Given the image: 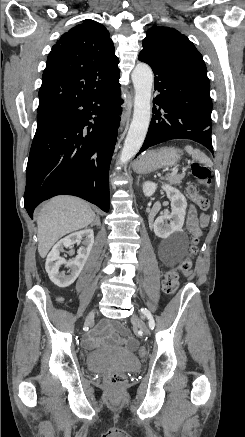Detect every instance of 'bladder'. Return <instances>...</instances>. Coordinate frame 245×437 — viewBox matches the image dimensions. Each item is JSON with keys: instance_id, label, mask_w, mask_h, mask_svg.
<instances>
[{"instance_id": "1", "label": "bladder", "mask_w": 245, "mask_h": 437, "mask_svg": "<svg viewBox=\"0 0 245 437\" xmlns=\"http://www.w3.org/2000/svg\"><path fill=\"white\" fill-rule=\"evenodd\" d=\"M86 365L95 372H130L140 367V361L129 351L102 348L86 355Z\"/></svg>"}]
</instances>
